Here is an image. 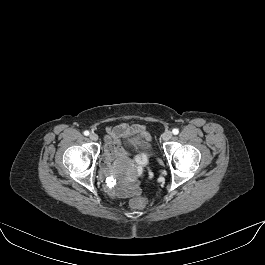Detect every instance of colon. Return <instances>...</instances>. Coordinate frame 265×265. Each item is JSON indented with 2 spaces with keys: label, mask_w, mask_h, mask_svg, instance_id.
I'll use <instances>...</instances> for the list:
<instances>
[{
  "label": "colon",
  "mask_w": 265,
  "mask_h": 265,
  "mask_svg": "<svg viewBox=\"0 0 265 265\" xmlns=\"http://www.w3.org/2000/svg\"><path fill=\"white\" fill-rule=\"evenodd\" d=\"M147 204L146 198L144 197H135L130 201V206L133 209L141 210L145 208Z\"/></svg>",
  "instance_id": "5ec220e1"
}]
</instances>
